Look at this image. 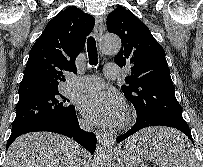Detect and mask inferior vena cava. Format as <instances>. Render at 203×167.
<instances>
[{"label":"inferior vena cava","mask_w":203,"mask_h":167,"mask_svg":"<svg viewBox=\"0 0 203 167\" xmlns=\"http://www.w3.org/2000/svg\"><path fill=\"white\" fill-rule=\"evenodd\" d=\"M80 127L85 129V130H90V128H91V126L89 124H86L84 122L80 123ZM83 167H86L84 163H83Z\"/></svg>","instance_id":"inferior-vena-cava-1"}]
</instances>
